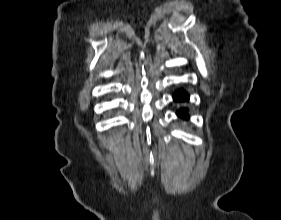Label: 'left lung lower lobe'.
Here are the masks:
<instances>
[{"instance_id": "obj_1", "label": "left lung lower lobe", "mask_w": 281, "mask_h": 220, "mask_svg": "<svg viewBox=\"0 0 281 220\" xmlns=\"http://www.w3.org/2000/svg\"><path fill=\"white\" fill-rule=\"evenodd\" d=\"M174 100L175 101H178V102H184V101H188V95L187 93L184 91V90H178L174 96H173ZM178 116L180 117H183L185 119H188L189 118V115L187 114V110L185 109H181L178 113H177Z\"/></svg>"}]
</instances>
